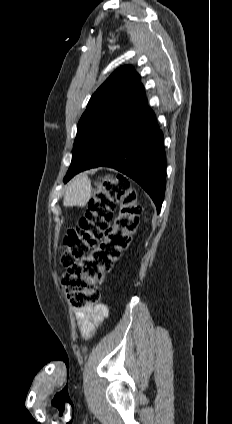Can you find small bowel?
I'll list each match as a JSON object with an SVG mask.
<instances>
[{
    "label": "small bowel",
    "mask_w": 232,
    "mask_h": 424,
    "mask_svg": "<svg viewBox=\"0 0 232 424\" xmlns=\"http://www.w3.org/2000/svg\"><path fill=\"white\" fill-rule=\"evenodd\" d=\"M74 316L84 339H90L107 318L108 309L105 304L97 303L87 309L77 310Z\"/></svg>",
    "instance_id": "1"
}]
</instances>
